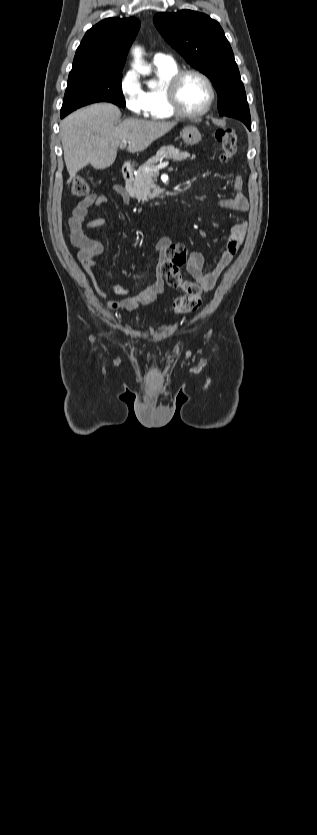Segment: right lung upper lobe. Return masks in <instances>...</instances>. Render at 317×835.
I'll return each mask as SVG.
<instances>
[{"instance_id": "1", "label": "right lung upper lobe", "mask_w": 317, "mask_h": 835, "mask_svg": "<svg viewBox=\"0 0 317 835\" xmlns=\"http://www.w3.org/2000/svg\"><path fill=\"white\" fill-rule=\"evenodd\" d=\"M139 27V20L133 17L102 20L86 32L76 50L72 69L94 67L122 70Z\"/></svg>"}]
</instances>
